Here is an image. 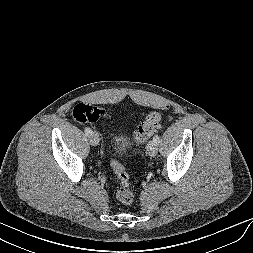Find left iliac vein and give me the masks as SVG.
Listing matches in <instances>:
<instances>
[{
  "mask_svg": "<svg viewBox=\"0 0 253 253\" xmlns=\"http://www.w3.org/2000/svg\"><path fill=\"white\" fill-rule=\"evenodd\" d=\"M147 153L149 156H156L158 153L157 144L153 141H150L147 146Z\"/></svg>",
  "mask_w": 253,
  "mask_h": 253,
  "instance_id": "4c4485c4",
  "label": "left iliac vein"
}]
</instances>
